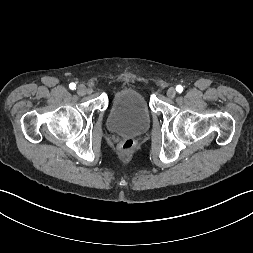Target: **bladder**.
Segmentation results:
<instances>
[{
  "label": "bladder",
  "mask_w": 253,
  "mask_h": 253,
  "mask_svg": "<svg viewBox=\"0 0 253 253\" xmlns=\"http://www.w3.org/2000/svg\"><path fill=\"white\" fill-rule=\"evenodd\" d=\"M110 132L138 136L150 126V110L145 97L133 89L119 91L113 97L106 120Z\"/></svg>",
  "instance_id": "obj_1"
}]
</instances>
